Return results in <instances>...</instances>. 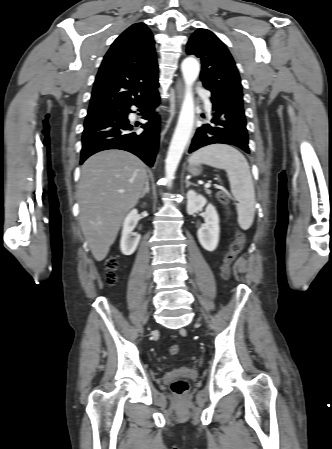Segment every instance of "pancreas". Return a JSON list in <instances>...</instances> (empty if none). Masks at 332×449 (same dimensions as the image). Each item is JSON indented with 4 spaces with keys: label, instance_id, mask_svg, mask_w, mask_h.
<instances>
[{
    "label": "pancreas",
    "instance_id": "cf45deb5",
    "mask_svg": "<svg viewBox=\"0 0 332 449\" xmlns=\"http://www.w3.org/2000/svg\"><path fill=\"white\" fill-rule=\"evenodd\" d=\"M205 192H206V194H208V195L211 194V191L208 190V189H206ZM216 197H217V198H220V197H226V195H225L223 192H218V193L216 194Z\"/></svg>",
    "mask_w": 332,
    "mask_h": 449
}]
</instances>
